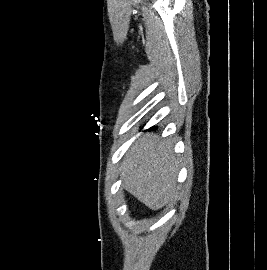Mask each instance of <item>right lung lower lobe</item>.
<instances>
[{
  "mask_svg": "<svg viewBox=\"0 0 267 270\" xmlns=\"http://www.w3.org/2000/svg\"><path fill=\"white\" fill-rule=\"evenodd\" d=\"M156 129L155 127L150 128V130Z\"/></svg>",
  "mask_w": 267,
  "mask_h": 270,
  "instance_id": "right-lung-lower-lobe-1",
  "label": "right lung lower lobe"
}]
</instances>
